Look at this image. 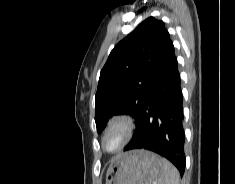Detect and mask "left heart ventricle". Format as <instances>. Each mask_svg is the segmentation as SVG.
Wrapping results in <instances>:
<instances>
[{
    "instance_id": "left-heart-ventricle-1",
    "label": "left heart ventricle",
    "mask_w": 235,
    "mask_h": 184,
    "mask_svg": "<svg viewBox=\"0 0 235 184\" xmlns=\"http://www.w3.org/2000/svg\"><path fill=\"white\" fill-rule=\"evenodd\" d=\"M121 139V132L119 129H114L108 132L103 140V148L107 152H113L119 146Z\"/></svg>"
}]
</instances>
